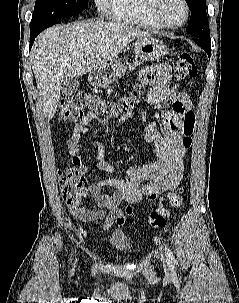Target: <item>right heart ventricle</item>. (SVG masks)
Instances as JSON below:
<instances>
[{"label": "right heart ventricle", "instance_id": "1", "mask_svg": "<svg viewBox=\"0 0 239 303\" xmlns=\"http://www.w3.org/2000/svg\"><path fill=\"white\" fill-rule=\"evenodd\" d=\"M147 4L148 0H113L111 18L148 30H159L161 27L152 21Z\"/></svg>", "mask_w": 239, "mask_h": 303}]
</instances>
